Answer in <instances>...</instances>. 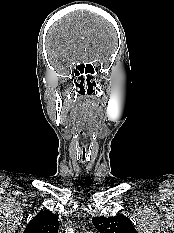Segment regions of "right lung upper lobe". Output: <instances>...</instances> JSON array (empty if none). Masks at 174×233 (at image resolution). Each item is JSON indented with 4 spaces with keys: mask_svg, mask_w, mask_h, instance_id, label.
Here are the masks:
<instances>
[{
    "mask_svg": "<svg viewBox=\"0 0 174 233\" xmlns=\"http://www.w3.org/2000/svg\"><path fill=\"white\" fill-rule=\"evenodd\" d=\"M58 228V216L50 211H42L33 217L23 233H58Z\"/></svg>",
    "mask_w": 174,
    "mask_h": 233,
    "instance_id": "1",
    "label": "right lung upper lobe"
}]
</instances>
